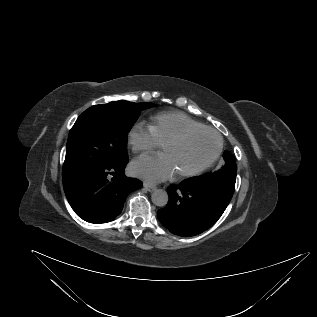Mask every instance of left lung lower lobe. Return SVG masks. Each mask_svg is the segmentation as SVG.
<instances>
[{
	"label": "left lung lower lobe",
	"mask_w": 317,
	"mask_h": 317,
	"mask_svg": "<svg viewBox=\"0 0 317 317\" xmlns=\"http://www.w3.org/2000/svg\"><path fill=\"white\" fill-rule=\"evenodd\" d=\"M234 189L235 184L222 180L201 176L185 179L168 187L169 202L158 210V218L175 235L200 234L221 217Z\"/></svg>",
	"instance_id": "1"
}]
</instances>
